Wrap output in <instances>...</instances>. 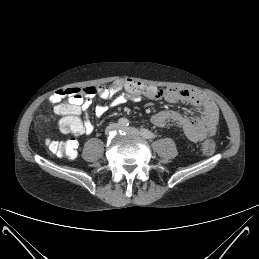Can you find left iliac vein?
I'll list each match as a JSON object with an SVG mask.
<instances>
[{"label": "left iliac vein", "instance_id": "1", "mask_svg": "<svg viewBox=\"0 0 259 259\" xmlns=\"http://www.w3.org/2000/svg\"><path fill=\"white\" fill-rule=\"evenodd\" d=\"M120 128L129 135H133V136L141 135V132L134 127H120Z\"/></svg>", "mask_w": 259, "mask_h": 259}]
</instances>
